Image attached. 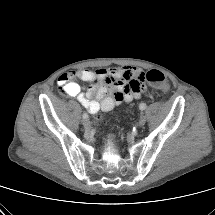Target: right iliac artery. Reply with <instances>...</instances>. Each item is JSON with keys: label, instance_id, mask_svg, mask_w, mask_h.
Masks as SVG:
<instances>
[{"label": "right iliac artery", "instance_id": "obj_1", "mask_svg": "<svg viewBox=\"0 0 215 215\" xmlns=\"http://www.w3.org/2000/svg\"><path fill=\"white\" fill-rule=\"evenodd\" d=\"M83 119H88V114L87 113L83 114Z\"/></svg>", "mask_w": 215, "mask_h": 215}]
</instances>
